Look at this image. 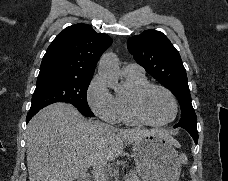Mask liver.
<instances>
[{
    "label": "liver",
    "mask_w": 228,
    "mask_h": 181,
    "mask_svg": "<svg viewBox=\"0 0 228 181\" xmlns=\"http://www.w3.org/2000/svg\"><path fill=\"white\" fill-rule=\"evenodd\" d=\"M159 133L180 147L169 131L115 129L99 121H86L69 103L41 109L26 129L29 181H80L94 161L108 163L121 155L124 145Z\"/></svg>",
    "instance_id": "liver-1"
}]
</instances>
